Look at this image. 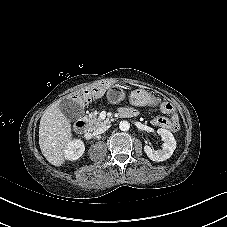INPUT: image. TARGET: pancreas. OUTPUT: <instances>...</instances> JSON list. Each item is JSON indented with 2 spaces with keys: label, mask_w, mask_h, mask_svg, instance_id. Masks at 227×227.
Wrapping results in <instances>:
<instances>
[{
  "label": "pancreas",
  "mask_w": 227,
  "mask_h": 227,
  "mask_svg": "<svg viewBox=\"0 0 227 227\" xmlns=\"http://www.w3.org/2000/svg\"><path fill=\"white\" fill-rule=\"evenodd\" d=\"M86 120L89 122V124L92 128L100 127V126L106 125L108 123L107 120H101L94 113L89 114V116L86 117Z\"/></svg>",
  "instance_id": "pancreas-1"
}]
</instances>
